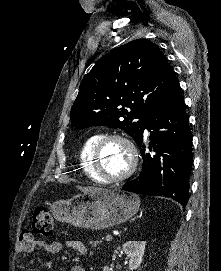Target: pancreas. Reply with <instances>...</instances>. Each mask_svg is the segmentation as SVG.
Returning a JSON list of instances; mask_svg holds the SVG:
<instances>
[{"label": "pancreas", "mask_w": 221, "mask_h": 271, "mask_svg": "<svg viewBox=\"0 0 221 271\" xmlns=\"http://www.w3.org/2000/svg\"><path fill=\"white\" fill-rule=\"evenodd\" d=\"M103 243V239H89V244H91L92 247H102Z\"/></svg>", "instance_id": "1"}]
</instances>
